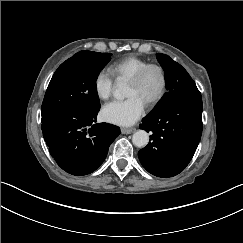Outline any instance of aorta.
Masks as SVG:
<instances>
[{"mask_svg":"<svg viewBox=\"0 0 243 243\" xmlns=\"http://www.w3.org/2000/svg\"><path fill=\"white\" fill-rule=\"evenodd\" d=\"M129 92V87L125 81L118 80L113 90V97L116 100L123 101ZM149 142V135L143 130L136 131L132 136V143L137 148H144Z\"/></svg>","mask_w":243,"mask_h":243,"instance_id":"obj_1","label":"aorta"}]
</instances>
